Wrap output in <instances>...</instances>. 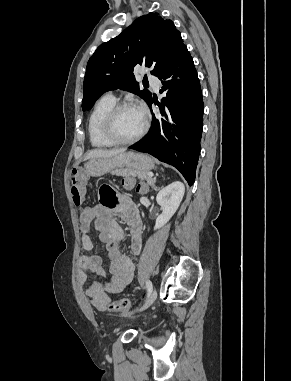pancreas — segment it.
<instances>
[{
	"label": "pancreas",
	"mask_w": 291,
	"mask_h": 381,
	"mask_svg": "<svg viewBox=\"0 0 291 381\" xmlns=\"http://www.w3.org/2000/svg\"><path fill=\"white\" fill-rule=\"evenodd\" d=\"M114 175L118 176H132V177H138L141 181H146L148 185H152L155 183V179L148 177L147 172H142L138 170H127V169H118L112 172Z\"/></svg>",
	"instance_id": "cf45deb5"
}]
</instances>
